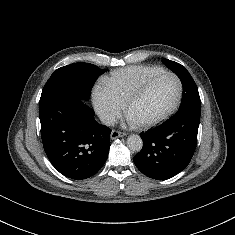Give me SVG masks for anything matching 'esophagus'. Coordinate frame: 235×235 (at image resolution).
Wrapping results in <instances>:
<instances>
[{
	"mask_svg": "<svg viewBox=\"0 0 235 235\" xmlns=\"http://www.w3.org/2000/svg\"><path fill=\"white\" fill-rule=\"evenodd\" d=\"M126 135V133L124 132H120V131H117V130H112L111 132V139L114 140L116 138H120V137H124Z\"/></svg>",
	"mask_w": 235,
	"mask_h": 235,
	"instance_id": "34e87169",
	"label": "esophagus"
}]
</instances>
